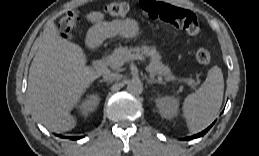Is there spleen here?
Segmentation results:
<instances>
[{"mask_svg":"<svg viewBox=\"0 0 259 156\" xmlns=\"http://www.w3.org/2000/svg\"><path fill=\"white\" fill-rule=\"evenodd\" d=\"M223 93V74L218 66H214L208 71L205 82L183 102L182 113L190 131H199L216 118Z\"/></svg>","mask_w":259,"mask_h":156,"instance_id":"3e777b00","label":"spleen"}]
</instances>
